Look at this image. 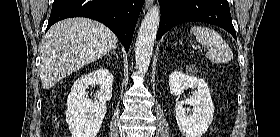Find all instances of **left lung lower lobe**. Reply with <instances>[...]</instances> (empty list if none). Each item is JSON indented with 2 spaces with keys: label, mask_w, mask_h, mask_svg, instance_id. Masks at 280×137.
Returning a JSON list of instances; mask_svg holds the SVG:
<instances>
[{
  "label": "left lung lower lobe",
  "mask_w": 280,
  "mask_h": 137,
  "mask_svg": "<svg viewBox=\"0 0 280 137\" xmlns=\"http://www.w3.org/2000/svg\"><path fill=\"white\" fill-rule=\"evenodd\" d=\"M161 17L156 40L185 22H205L228 31L236 40L227 0H159Z\"/></svg>",
  "instance_id": "obj_1"
}]
</instances>
